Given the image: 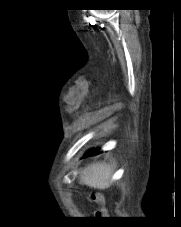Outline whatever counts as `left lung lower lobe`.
Returning a JSON list of instances; mask_svg holds the SVG:
<instances>
[{
    "label": "left lung lower lobe",
    "instance_id": "left-lung-lower-lobe-1",
    "mask_svg": "<svg viewBox=\"0 0 181 227\" xmlns=\"http://www.w3.org/2000/svg\"><path fill=\"white\" fill-rule=\"evenodd\" d=\"M97 153H98V151L93 149V150L88 151L85 156H89V155H93V154H97Z\"/></svg>",
    "mask_w": 181,
    "mask_h": 227
}]
</instances>
